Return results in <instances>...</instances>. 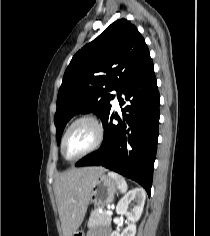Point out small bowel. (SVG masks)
<instances>
[{
  "label": "small bowel",
  "instance_id": "obj_1",
  "mask_svg": "<svg viewBox=\"0 0 210 236\" xmlns=\"http://www.w3.org/2000/svg\"><path fill=\"white\" fill-rule=\"evenodd\" d=\"M88 236H110L109 232H90Z\"/></svg>",
  "mask_w": 210,
  "mask_h": 236
}]
</instances>
